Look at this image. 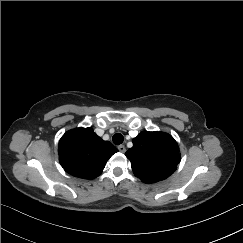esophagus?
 Listing matches in <instances>:
<instances>
[{"label":"esophagus","mask_w":243,"mask_h":243,"mask_svg":"<svg viewBox=\"0 0 243 243\" xmlns=\"http://www.w3.org/2000/svg\"><path fill=\"white\" fill-rule=\"evenodd\" d=\"M118 150H119L120 152L124 153V152L126 151V148H125L124 145H119V146H118Z\"/></svg>","instance_id":"1"}]
</instances>
